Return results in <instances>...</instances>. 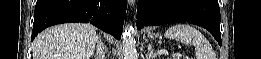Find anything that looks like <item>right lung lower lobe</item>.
I'll return each mask as SVG.
<instances>
[{
    "mask_svg": "<svg viewBox=\"0 0 261 59\" xmlns=\"http://www.w3.org/2000/svg\"><path fill=\"white\" fill-rule=\"evenodd\" d=\"M127 0H37L31 40L45 28L69 22L91 23L120 39Z\"/></svg>",
    "mask_w": 261,
    "mask_h": 59,
    "instance_id": "right-lung-lower-lobe-1",
    "label": "right lung lower lobe"
}]
</instances>
